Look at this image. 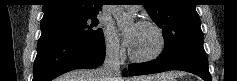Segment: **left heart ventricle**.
<instances>
[{
	"mask_svg": "<svg viewBox=\"0 0 237 81\" xmlns=\"http://www.w3.org/2000/svg\"><path fill=\"white\" fill-rule=\"evenodd\" d=\"M158 46V38L150 27L136 26L134 42L131 50L138 56H144L153 52Z\"/></svg>",
	"mask_w": 237,
	"mask_h": 81,
	"instance_id": "1",
	"label": "left heart ventricle"
}]
</instances>
